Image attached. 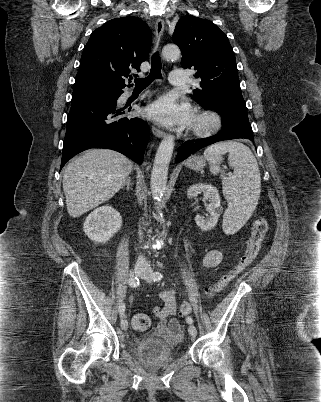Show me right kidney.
<instances>
[{
    "label": "right kidney",
    "instance_id": "obj_1",
    "mask_svg": "<svg viewBox=\"0 0 321 402\" xmlns=\"http://www.w3.org/2000/svg\"><path fill=\"white\" fill-rule=\"evenodd\" d=\"M122 225V217L113 207L105 205L92 211L84 222L85 234L95 243H106Z\"/></svg>",
    "mask_w": 321,
    "mask_h": 402
}]
</instances>
